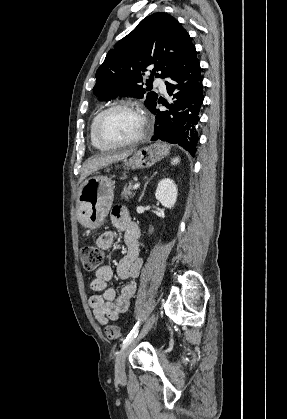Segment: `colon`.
<instances>
[{"instance_id":"5ec220e1","label":"colon","mask_w":287,"mask_h":419,"mask_svg":"<svg viewBox=\"0 0 287 419\" xmlns=\"http://www.w3.org/2000/svg\"><path fill=\"white\" fill-rule=\"evenodd\" d=\"M81 259L86 271H95L103 264L104 253L95 245H87L81 250ZM104 334L109 340H117L120 338V329L115 325H108Z\"/></svg>"}]
</instances>
